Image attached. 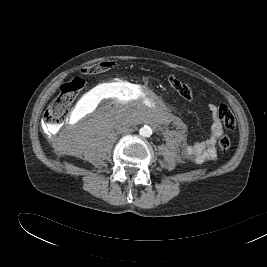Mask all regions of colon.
<instances>
[{"label": "colon", "instance_id": "colon-1", "mask_svg": "<svg viewBox=\"0 0 267 267\" xmlns=\"http://www.w3.org/2000/svg\"><path fill=\"white\" fill-rule=\"evenodd\" d=\"M108 66L107 63H98L87 66L84 69L86 74H95L103 71ZM169 86L175 90L180 97L185 100H191L193 97V91L191 87L185 82L179 80L175 76L168 78ZM84 87V80L80 77H76L71 81L63 84L60 88V92L57 97L51 102L45 111L44 120L47 126H56L61 123L67 116L69 107L75 100L78 93ZM219 116L223 122V125L227 129H234L236 126L235 117L232 111L227 105H219ZM218 146L221 151H227L231 146V140L229 136L223 135L218 141Z\"/></svg>", "mask_w": 267, "mask_h": 267}]
</instances>
